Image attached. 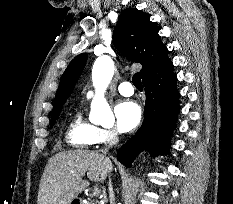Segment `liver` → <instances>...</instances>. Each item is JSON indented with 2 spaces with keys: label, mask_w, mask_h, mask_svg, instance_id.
Returning a JSON list of instances; mask_svg holds the SVG:
<instances>
[{
  "label": "liver",
  "mask_w": 233,
  "mask_h": 204,
  "mask_svg": "<svg viewBox=\"0 0 233 204\" xmlns=\"http://www.w3.org/2000/svg\"><path fill=\"white\" fill-rule=\"evenodd\" d=\"M113 165L104 155L87 150L57 153L48 160L39 184L38 204H70L93 182H103Z\"/></svg>",
  "instance_id": "obj_1"
}]
</instances>
